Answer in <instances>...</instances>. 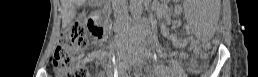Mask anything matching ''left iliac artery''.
Listing matches in <instances>:
<instances>
[{
  "label": "left iliac artery",
  "instance_id": "44dca946",
  "mask_svg": "<svg viewBox=\"0 0 258 77\" xmlns=\"http://www.w3.org/2000/svg\"><path fill=\"white\" fill-rule=\"evenodd\" d=\"M157 52H158V53H161L160 49L157 50ZM144 54H145L146 56H150V53H147L146 51L144 52Z\"/></svg>",
  "mask_w": 258,
  "mask_h": 77
}]
</instances>
